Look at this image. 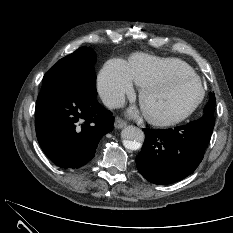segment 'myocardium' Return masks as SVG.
<instances>
[{
    "instance_id": "myocardium-1",
    "label": "myocardium",
    "mask_w": 233,
    "mask_h": 233,
    "mask_svg": "<svg viewBox=\"0 0 233 233\" xmlns=\"http://www.w3.org/2000/svg\"><path fill=\"white\" fill-rule=\"evenodd\" d=\"M186 79L196 80L200 84V87H201V93H200L199 98L186 112H184L183 114H181L177 117L168 118V117H162V116H157V115L151 114L144 109V107H143L144 97L149 91L157 90V89H160L162 87H165V86H168V85H171L173 83H176V82H179L182 80H186ZM205 97H206L205 84L202 81V79L195 73L178 74V75H174V76L163 77V78L157 79L155 81L144 84L143 86H141V88L139 90V102H140V105L143 109L145 118L151 124H153L155 126H159V127H172V126H176V125H179V124L185 122L198 110V108L204 102Z\"/></svg>"
}]
</instances>
